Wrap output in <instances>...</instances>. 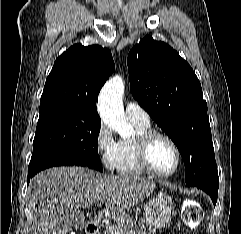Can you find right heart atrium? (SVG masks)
I'll return each mask as SVG.
<instances>
[{
    "mask_svg": "<svg viewBox=\"0 0 241 234\" xmlns=\"http://www.w3.org/2000/svg\"><path fill=\"white\" fill-rule=\"evenodd\" d=\"M95 146L101 162L108 170L114 169V155L117 141L110 128L101 123L95 135Z\"/></svg>",
    "mask_w": 241,
    "mask_h": 234,
    "instance_id": "1",
    "label": "right heart atrium"
}]
</instances>
